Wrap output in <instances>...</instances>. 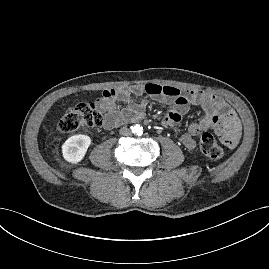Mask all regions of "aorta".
Segmentation results:
<instances>
[{"mask_svg": "<svg viewBox=\"0 0 269 269\" xmlns=\"http://www.w3.org/2000/svg\"><path fill=\"white\" fill-rule=\"evenodd\" d=\"M135 133L137 134V135H142V133H143V128L142 127H140V126H136L135 127Z\"/></svg>", "mask_w": 269, "mask_h": 269, "instance_id": "762f6f07", "label": "aorta"}]
</instances>
